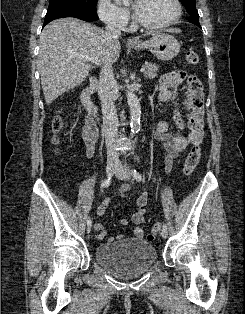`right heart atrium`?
<instances>
[{
    "mask_svg": "<svg viewBox=\"0 0 245 314\" xmlns=\"http://www.w3.org/2000/svg\"><path fill=\"white\" fill-rule=\"evenodd\" d=\"M98 13L104 23L109 26L123 28L128 24V10L116 5L111 0H100Z\"/></svg>",
    "mask_w": 245,
    "mask_h": 314,
    "instance_id": "obj_1",
    "label": "right heart atrium"
}]
</instances>
